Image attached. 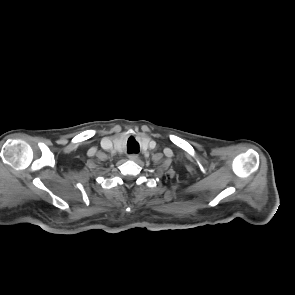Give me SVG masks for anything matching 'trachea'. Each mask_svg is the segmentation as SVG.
<instances>
[{"instance_id": "obj_1", "label": "trachea", "mask_w": 295, "mask_h": 295, "mask_svg": "<svg viewBox=\"0 0 295 295\" xmlns=\"http://www.w3.org/2000/svg\"><path fill=\"white\" fill-rule=\"evenodd\" d=\"M127 149L130 154L138 152L139 145H138V142L133 137H130L128 139Z\"/></svg>"}]
</instances>
